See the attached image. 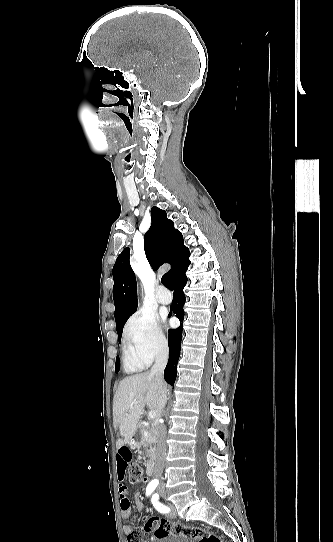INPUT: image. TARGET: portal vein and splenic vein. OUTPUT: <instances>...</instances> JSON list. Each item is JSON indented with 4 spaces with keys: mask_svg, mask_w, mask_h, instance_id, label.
I'll list each match as a JSON object with an SVG mask.
<instances>
[{
    "mask_svg": "<svg viewBox=\"0 0 333 542\" xmlns=\"http://www.w3.org/2000/svg\"><path fill=\"white\" fill-rule=\"evenodd\" d=\"M134 404H137V402H134ZM148 416L149 418H156V412H152L151 410V412H148Z\"/></svg>",
    "mask_w": 333,
    "mask_h": 542,
    "instance_id": "18ae733b",
    "label": "portal vein and splenic vein"
}]
</instances>
